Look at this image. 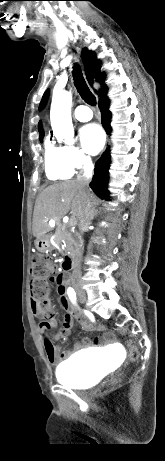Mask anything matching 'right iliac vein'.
I'll list each match as a JSON object with an SVG mask.
<instances>
[{
    "label": "right iliac vein",
    "mask_w": 165,
    "mask_h": 461,
    "mask_svg": "<svg viewBox=\"0 0 165 461\" xmlns=\"http://www.w3.org/2000/svg\"><path fill=\"white\" fill-rule=\"evenodd\" d=\"M78 299L81 303H86L87 302V296L85 294V292H83L82 290H78Z\"/></svg>",
    "instance_id": "63e3f726"
}]
</instances>
